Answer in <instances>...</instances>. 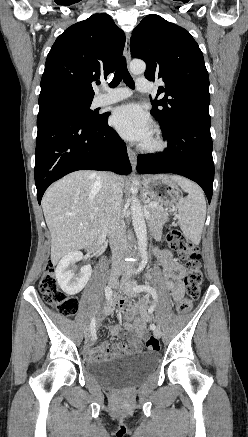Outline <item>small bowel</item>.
<instances>
[{"instance_id": "obj_1", "label": "small bowel", "mask_w": 248, "mask_h": 437, "mask_svg": "<svg viewBox=\"0 0 248 437\" xmlns=\"http://www.w3.org/2000/svg\"><path fill=\"white\" fill-rule=\"evenodd\" d=\"M158 258L163 265L162 273L165 280V286L170 290L173 301L178 302L184 294L182 277L185 270L180 263L172 259L171 254L166 250L159 251ZM118 304L121 307H124L126 300L119 297ZM112 310L113 303L108 302L105 306V312L109 314ZM138 311L141 313L142 318L137 320L132 326H129L132 330V336L129 342L115 343L111 346H109L107 342H102L96 346L95 338L91 337V339L86 341L84 347L86 357L91 361H102L121 353L138 352L142 346V338L145 334V324L149 320V316L146 314V301L140 303ZM110 332L113 336L118 338H123L124 336L123 329L119 325L111 326Z\"/></svg>"}]
</instances>
